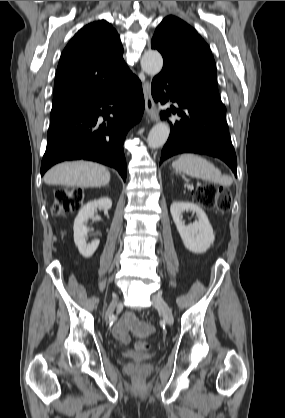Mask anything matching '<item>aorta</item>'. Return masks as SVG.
Here are the masks:
<instances>
[{
  "label": "aorta",
  "mask_w": 285,
  "mask_h": 418,
  "mask_svg": "<svg viewBox=\"0 0 285 418\" xmlns=\"http://www.w3.org/2000/svg\"><path fill=\"white\" fill-rule=\"evenodd\" d=\"M163 67V58L158 51L148 50L141 58L142 70L151 75H157ZM170 134V127L165 122L156 124L149 132L147 143L150 148H159L163 146Z\"/></svg>",
  "instance_id": "1"
}]
</instances>
